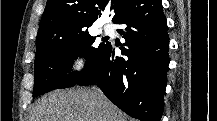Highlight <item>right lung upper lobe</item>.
<instances>
[{
    "label": "right lung upper lobe",
    "instance_id": "right-lung-upper-lobe-1",
    "mask_svg": "<svg viewBox=\"0 0 217 121\" xmlns=\"http://www.w3.org/2000/svg\"><path fill=\"white\" fill-rule=\"evenodd\" d=\"M110 1L115 23L140 0H48L43 13L36 46L62 39L89 27L101 16Z\"/></svg>",
    "mask_w": 217,
    "mask_h": 121
}]
</instances>
